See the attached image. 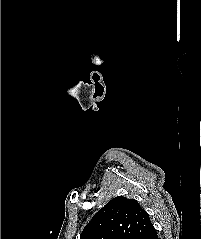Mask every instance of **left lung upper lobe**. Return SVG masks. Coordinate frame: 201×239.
<instances>
[{
    "label": "left lung upper lobe",
    "mask_w": 201,
    "mask_h": 239,
    "mask_svg": "<svg viewBox=\"0 0 201 239\" xmlns=\"http://www.w3.org/2000/svg\"><path fill=\"white\" fill-rule=\"evenodd\" d=\"M150 225L148 213L136 200L118 196L93 216L80 239H142Z\"/></svg>",
    "instance_id": "obj_1"
}]
</instances>
